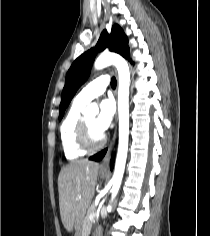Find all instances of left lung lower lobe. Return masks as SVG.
I'll return each instance as SVG.
<instances>
[{"label":"left lung lower lobe","instance_id":"0a47b994","mask_svg":"<svg viewBox=\"0 0 210 236\" xmlns=\"http://www.w3.org/2000/svg\"><path fill=\"white\" fill-rule=\"evenodd\" d=\"M106 152H107V149H105V150L99 152L98 154H96V155H94V156H91L90 159H91V160H95V161H100V160L104 157V155L106 154ZM113 166H114V163H113V159H112V160H111V163H110V168H111V170L113 169Z\"/></svg>","mask_w":210,"mask_h":236}]
</instances>
